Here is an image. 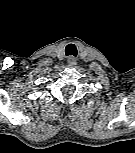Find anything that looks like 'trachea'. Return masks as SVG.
<instances>
[{
	"mask_svg": "<svg viewBox=\"0 0 135 153\" xmlns=\"http://www.w3.org/2000/svg\"><path fill=\"white\" fill-rule=\"evenodd\" d=\"M65 54L67 56H75L77 55V48L75 46V44H68L65 48Z\"/></svg>",
	"mask_w": 135,
	"mask_h": 153,
	"instance_id": "trachea-1",
	"label": "trachea"
}]
</instances>
